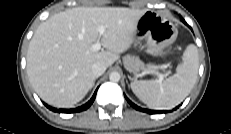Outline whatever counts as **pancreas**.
I'll list each match as a JSON object with an SVG mask.
<instances>
[{"label":"pancreas","instance_id":"obj_1","mask_svg":"<svg viewBox=\"0 0 231 134\" xmlns=\"http://www.w3.org/2000/svg\"><path fill=\"white\" fill-rule=\"evenodd\" d=\"M124 67L131 73H137L140 70L150 72L153 71L156 66L148 65L147 67L145 64L136 56L127 55L123 59Z\"/></svg>","mask_w":231,"mask_h":134}]
</instances>
